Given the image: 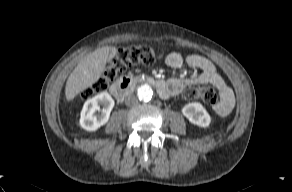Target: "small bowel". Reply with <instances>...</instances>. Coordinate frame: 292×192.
<instances>
[{
	"label": "small bowel",
	"mask_w": 292,
	"mask_h": 192,
	"mask_svg": "<svg viewBox=\"0 0 292 192\" xmlns=\"http://www.w3.org/2000/svg\"><path fill=\"white\" fill-rule=\"evenodd\" d=\"M185 63L198 69L200 73L190 78L169 79L167 82L169 85L168 96L177 95L186 87L210 84L218 89L221 98V101L213 107L214 111L220 116L227 115L234 105V97L231 89L217 72L215 65L209 59L196 54L183 57L180 53L172 52L166 57V64L173 69L181 68Z\"/></svg>",
	"instance_id": "obj_1"
}]
</instances>
